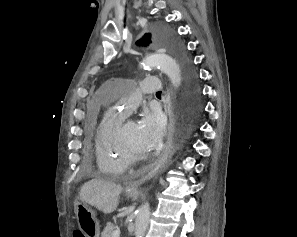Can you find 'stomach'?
I'll use <instances>...</instances> for the list:
<instances>
[{"mask_svg":"<svg viewBox=\"0 0 297 237\" xmlns=\"http://www.w3.org/2000/svg\"><path fill=\"white\" fill-rule=\"evenodd\" d=\"M128 197L136 195L134 191H127ZM75 214L81 233L85 237H99L100 225L96 219L95 212L86 204L79 203L75 206Z\"/></svg>","mask_w":297,"mask_h":237,"instance_id":"0dacf381","label":"stomach"}]
</instances>
